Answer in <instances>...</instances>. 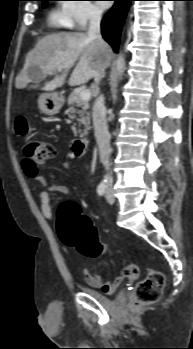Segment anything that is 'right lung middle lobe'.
Here are the masks:
<instances>
[{
  "instance_id": "right-lung-middle-lobe-1",
  "label": "right lung middle lobe",
  "mask_w": 193,
  "mask_h": 349,
  "mask_svg": "<svg viewBox=\"0 0 193 349\" xmlns=\"http://www.w3.org/2000/svg\"><path fill=\"white\" fill-rule=\"evenodd\" d=\"M40 1H42V2H43V7H46L47 2H48L49 0H40Z\"/></svg>"
}]
</instances>
